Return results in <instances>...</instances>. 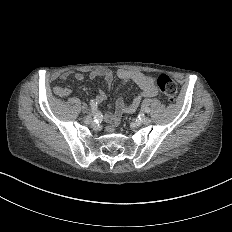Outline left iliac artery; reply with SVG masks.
Masks as SVG:
<instances>
[{"mask_svg":"<svg viewBox=\"0 0 232 232\" xmlns=\"http://www.w3.org/2000/svg\"><path fill=\"white\" fill-rule=\"evenodd\" d=\"M144 119H145V115H144L143 113H139V114L137 115V118H136L137 121L141 122V121H143Z\"/></svg>","mask_w":232,"mask_h":232,"instance_id":"44dca946","label":"left iliac artery"}]
</instances>
